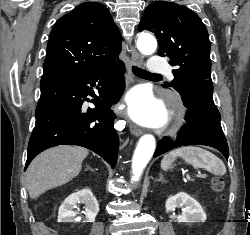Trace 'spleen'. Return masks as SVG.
<instances>
[{"label": "spleen", "mask_w": 250, "mask_h": 235, "mask_svg": "<svg viewBox=\"0 0 250 235\" xmlns=\"http://www.w3.org/2000/svg\"><path fill=\"white\" fill-rule=\"evenodd\" d=\"M178 157L191 164L194 168H204L215 175H224L226 173V167L222 160L211 152L196 146L172 150L163 157L161 168L163 170L169 169Z\"/></svg>", "instance_id": "obj_1"}]
</instances>
